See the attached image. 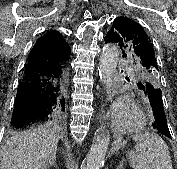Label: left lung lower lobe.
Wrapping results in <instances>:
<instances>
[{
  "instance_id": "obj_1",
  "label": "left lung lower lobe",
  "mask_w": 177,
  "mask_h": 169,
  "mask_svg": "<svg viewBox=\"0 0 177 169\" xmlns=\"http://www.w3.org/2000/svg\"><path fill=\"white\" fill-rule=\"evenodd\" d=\"M140 89L148 94L150 105L152 107L153 115L155 118L153 128L168 138H171V134L167 126V119L164 113L162 93L160 88H157L150 82L145 81L144 83H141Z\"/></svg>"
}]
</instances>
